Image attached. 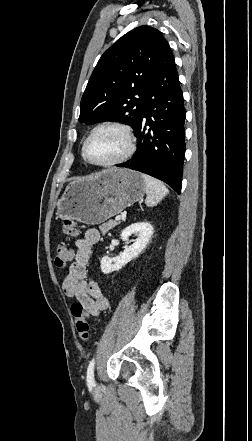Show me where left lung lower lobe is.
Segmentation results:
<instances>
[{
    "mask_svg": "<svg viewBox=\"0 0 252 441\" xmlns=\"http://www.w3.org/2000/svg\"><path fill=\"white\" fill-rule=\"evenodd\" d=\"M186 111L174 56L166 41L147 89L145 107L136 130V155L118 167L137 170L181 191L185 154ZM150 129L147 130L146 126Z\"/></svg>",
    "mask_w": 252,
    "mask_h": 441,
    "instance_id": "0a47b994",
    "label": "left lung lower lobe"
}]
</instances>
